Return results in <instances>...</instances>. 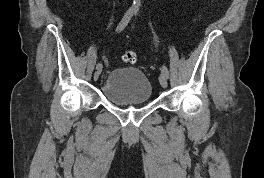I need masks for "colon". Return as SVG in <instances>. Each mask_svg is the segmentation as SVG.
Returning a JSON list of instances; mask_svg holds the SVG:
<instances>
[{
  "instance_id": "1",
  "label": "colon",
  "mask_w": 264,
  "mask_h": 178,
  "mask_svg": "<svg viewBox=\"0 0 264 178\" xmlns=\"http://www.w3.org/2000/svg\"><path fill=\"white\" fill-rule=\"evenodd\" d=\"M122 61L126 64H135L137 61V55L133 51H126L122 55Z\"/></svg>"
}]
</instances>
